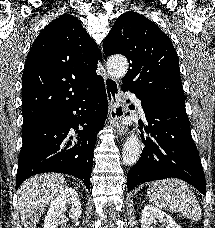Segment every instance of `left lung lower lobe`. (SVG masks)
Instances as JSON below:
<instances>
[{
	"label": "left lung lower lobe",
	"instance_id": "1",
	"mask_svg": "<svg viewBox=\"0 0 215 228\" xmlns=\"http://www.w3.org/2000/svg\"><path fill=\"white\" fill-rule=\"evenodd\" d=\"M137 98L142 101L148 122L146 131L151 137L145 139L142 135L145 147L138 162L128 172V190L144 182L175 177L206 195L205 176L191 137L185 101Z\"/></svg>",
	"mask_w": 215,
	"mask_h": 228
}]
</instances>
